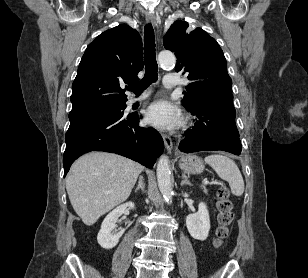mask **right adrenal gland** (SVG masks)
Masks as SVG:
<instances>
[{
    "instance_id": "2a0ac1e0",
    "label": "right adrenal gland",
    "mask_w": 308,
    "mask_h": 278,
    "mask_svg": "<svg viewBox=\"0 0 308 278\" xmlns=\"http://www.w3.org/2000/svg\"><path fill=\"white\" fill-rule=\"evenodd\" d=\"M145 188V183H144V179L142 176H139L138 179V185L136 187V189L134 190L135 192H137L139 189H141L142 191H144Z\"/></svg>"
}]
</instances>
